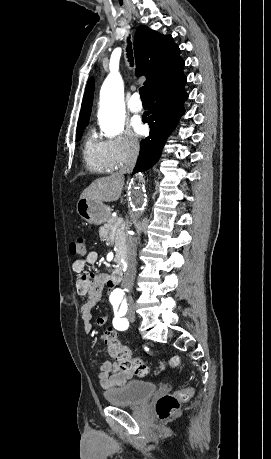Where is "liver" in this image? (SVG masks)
<instances>
[{
  "label": "liver",
  "instance_id": "6515ba94",
  "mask_svg": "<svg viewBox=\"0 0 271 459\" xmlns=\"http://www.w3.org/2000/svg\"><path fill=\"white\" fill-rule=\"evenodd\" d=\"M124 176L115 172L106 178L94 180L80 196V200H94V202H116L119 200L124 188Z\"/></svg>",
  "mask_w": 271,
  "mask_h": 459
}]
</instances>
